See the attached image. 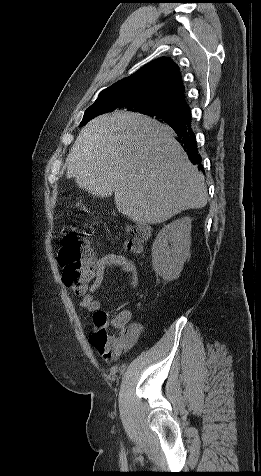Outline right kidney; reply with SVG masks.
Masks as SVG:
<instances>
[{"label":"right kidney","instance_id":"ca27d5eb","mask_svg":"<svg viewBox=\"0 0 261 476\" xmlns=\"http://www.w3.org/2000/svg\"><path fill=\"white\" fill-rule=\"evenodd\" d=\"M191 219L184 217L165 225L152 246V267L166 281L179 277L189 257Z\"/></svg>","mask_w":261,"mask_h":476}]
</instances>
